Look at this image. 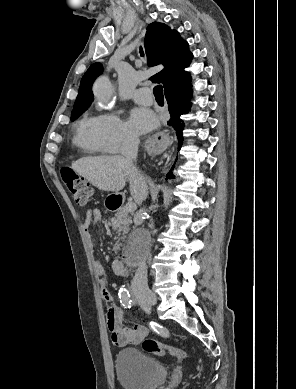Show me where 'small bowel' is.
Returning <instances> with one entry per match:
<instances>
[{"label": "small bowel", "instance_id": "obj_1", "mask_svg": "<svg viewBox=\"0 0 296 389\" xmlns=\"http://www.w3.org/2000/svg\"><path fill=\"white\" fill-rule=\"evenodd\" d=\"M102 214L99 209L88 210L84 219V227L87 232L91 226H95L101 220ZM99 272H103L102 266L98 265ZM104 300L108 303L106 320L107 327L111 334L112 342L119 347L126 345L139 344L147 335V327L135 324L132 327H125L123 325V313L119 306L115 303L114 297L106 289H102Z\"/></svg>", "mask_w": 296, "mask_h": 389}]
</instances>
